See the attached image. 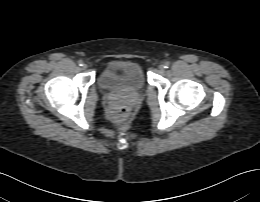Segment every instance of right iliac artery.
<instances>
[{
  "label": "right iliac artery",
  "mask_w": 260,
  "mask_h": 202,
  "mask_svg": "<svg viewBox=\"0 0 260 202\" xmlns=\"http://www.w3.org/2000/svg\"><path fill=\"white\" fill-rule=\"evenodd\" d=\"M78 64H79V66H83V61H82V60H79V61H78Z\"/></svg>",
  "instance_id": "right-iliac-artery-1"
}]
</instances>
